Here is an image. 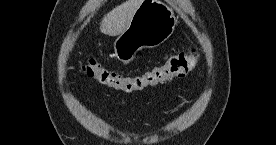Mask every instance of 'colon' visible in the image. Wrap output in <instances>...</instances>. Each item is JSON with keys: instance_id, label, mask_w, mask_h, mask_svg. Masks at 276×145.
<instances>
[{"instance_id": "colon-1", "label": "colon", "mask_w": 276, "mask_h": 145, "mask_svg": "<svg viewBox=\"0 0 276 145\" xmlns=\"http://www.w3.org/2000/svg\"><path fill=\"white\" fill-rule=\"evenodd\" d=\"M197 64V51L191 49L174 53L165 63L137 75H127L110 70L93 59L85 61L81 65V70L85 76L102 86L124 93H134L182 77Z\"/></svg>"}]
</instances>
